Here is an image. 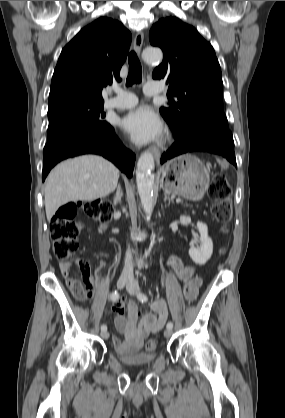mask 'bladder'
<instances>
[{
  "label": "bladder",
  "instance_id": "obj_1",
  "mask_svg": "<svg viewBox=\"0 0 285 418\" xmlns=\"http://www.w3.org/2000/svg\"><path fill=\"white\" fill-rule=\"evenodd\" d=\"M114 353L117 359L127 366H147L153 364L156 360V354L154 351L148 353L122 352L115 349Z\"/></svg>",
  "mask_w": 285,
  "mask_h": 418
}]
</instances>
